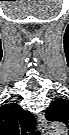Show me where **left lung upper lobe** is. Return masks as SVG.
Wrapping results in <instances>:
<instances>
[{
  "mask_svg": "<svg viewBox=\"0 0 69 135\" xmlns=\"http://www.w3.org/2000/svg\"><path fill=\"white\" fill-rule=\"evenodd\" d=\"M49 121H63L67 123L69 118V101L57 99L53 101L45 112Z\"/></svg>",
  "mask_w": 69,
  "mask_h": 135,
  "instance_id": "1",
  "label": "left lung upper lobe"
}]
</instances>
